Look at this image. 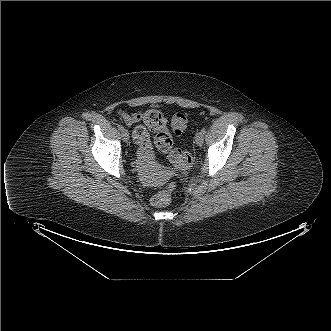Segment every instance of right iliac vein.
Wrapping results in <instances>:
<instances>
[{
	"label": "right iliac vein",
	"instance_id": "63e3f726",
	"mask_svg": "<svg viewBox=\"0 0 331 331\" xmlns=\"http://www.w3.org/2000/svg\"><path fill=\"white\" fill-rule=\"evenodd\" d=\"M121 137L123 139L124 142H128L129 141V133L126 129H123L121 131Z\"/></svg>",
	"mask_w": 331,
	"mask_h": 331
}]
</instances>
